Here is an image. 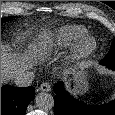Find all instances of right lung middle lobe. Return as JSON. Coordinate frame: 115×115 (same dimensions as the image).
<instances>
[{
	"mask_svg": "<svg viewBox=\"0 0 115 115\" xmlns=\"http://www.w3.org/2000/svg\"><path fill=\"white\" fill-rule=\"evenodd\" d=\"M11 18H12V16L7 17V18H2L1 19V24L4 23V22H6V21H8V20H10Z\"/></svg>",
	"mask_w": 115,
	"mask_h": 115,
	"instance_id": "1",
	"label": "right lung middle lobe"
}]
</instances>
